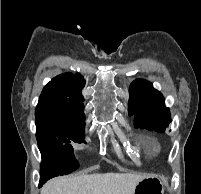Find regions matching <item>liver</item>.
<instances>
[{"instance_id": "liver-1", "label": "liver", "mask_w": 201, "mask_h": 194, "mask_svg": "<svg viewBox=\"0 0 201 194\" xmlns=\"http://www.w3.org/2000/svg\"><path fill=\"white\" fill-rule=\"evenodd\" d=\"M144 176L131 173H97L56 177L42 187L41 194H133L136 184Z\"/></svg>"}]
</instances>
